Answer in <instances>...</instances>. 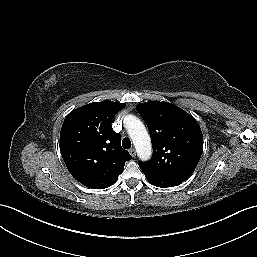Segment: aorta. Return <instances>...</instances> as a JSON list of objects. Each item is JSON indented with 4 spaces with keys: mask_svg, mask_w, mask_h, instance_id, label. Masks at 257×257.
<instances>
[{
    "mask_svg": "<svg viewBox=\"0 0 257 257\" xmlns=\"http://www.w3.org/2000/svg\"><path fill=\"white\" fill-rule=\"evenodd\" d=\"M128 134L136 148L137 155L141 160H148L152 154V147L149 134L143 123L135 116H127Z\"/></svg>",
    "mask_w": 257,
    "mask_h": 257,
    "instance_id": "aorta-1",
    "label": "aorta"
}]
</instances>
